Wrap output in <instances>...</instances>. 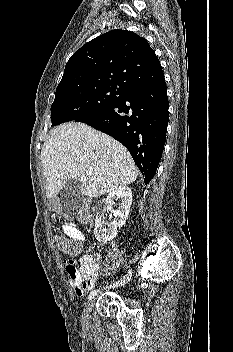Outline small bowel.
I'll list each match as a JSON object with an SVG mask.
<instances>
[{"label":"small bowel","mask_w":233,"mask_h":352,"mask_svg":"<svg viewBox=\"0 0 233 352\" xmlns=\"http://www.w3.org/2000/svg\"><path fill=\"white\" fill-rule=\"evenodd\" d=\"M62 230L67 236L77 241L84 242L86 240L85 235L79 229L78 225L72 221L65 222L62 226ZM80 264H95L97 270L92 275L83 277L77 274L76 265L73 260H68L66 262V271L69 276V283L77 296H83L92 290L100 277L99 257H95L91 254H84L80 258Z\"/></svg>","instance_id":"small-bowel-1"}]
</instances>
